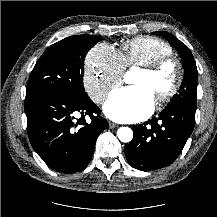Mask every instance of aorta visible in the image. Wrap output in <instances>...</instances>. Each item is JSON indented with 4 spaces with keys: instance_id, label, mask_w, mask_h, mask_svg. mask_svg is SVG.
Listing matches in <instances>:
<instances>
[{
    "instance_id": "aorta-1",
    "label": "aorta",
    "mask_w": 217,
    "mask_h": 217,
    "mask_svg": "<svg viewBox=\"0 0 217 217\" xmlns=\"http://www.w3.org/2000/svg\"><path fill=\"white\" fill-rule=\"evenodd\" d=\"M130 73H127L125 80L127 81ZM117 137L121 142L128 143L133 138V132L129 127H121L117 130Z\"/></svg>"
}]
</instances>
